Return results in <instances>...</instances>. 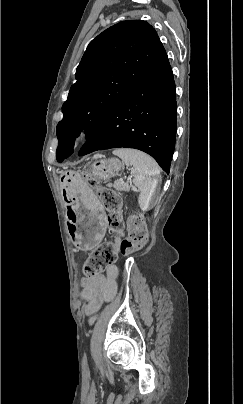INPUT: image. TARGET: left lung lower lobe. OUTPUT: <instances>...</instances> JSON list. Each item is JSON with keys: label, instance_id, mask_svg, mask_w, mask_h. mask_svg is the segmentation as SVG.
Returning a JSON list of instances; mask_svg holds the SVG:
<instances>
[{"label": "left lung lower lobe", "instance_id": "obj_1", "mask_svg": "<svg viewBox=\"0 0 243 404\" xmlns=\"http://www.w3.org/2000/svg\"><path fill=\"white\" fill-rule=\"evenodd\" d=\"M176 124V89L167 59L104 116L78 155L109 148H135L151 155L169 174Z\"/></svg>", "mask_w": 243, "mask_h": 404}]
</instances>
